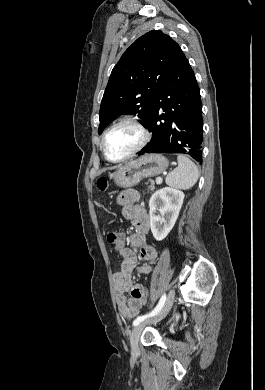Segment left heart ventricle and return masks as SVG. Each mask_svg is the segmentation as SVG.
<instances>
[{
  "mask_svg": "<svg viewBox=\"0 0 265 390\" xmlns=\"http://www.w3.org/2000/svg\"><path fill=\"white\" fill-rule=\"evenodd\" d=\"M140 139L138 131L129 125L112 130L106 139V152L110 159L117 160L135 147Z\"/></svg>",
  "mask_w": 265,
  "mask_h": 390,
  "instance_id": "1",
  "label": "left heart ventricle"
}]
</instances>
